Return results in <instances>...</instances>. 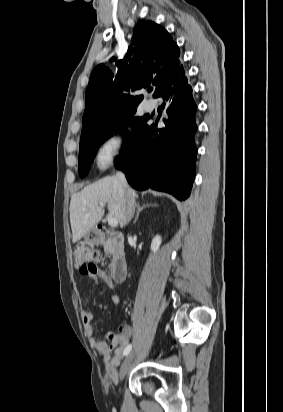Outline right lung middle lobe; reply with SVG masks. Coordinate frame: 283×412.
Masks as SVG:
<instances>
[{
    "label": "right lung middle lobe",
    "mask_w": 283,
    "mask_h": 412,
    "mask_svg": "<svg viewBox=\"0 0 283 412\" xmlns=\"http://www.w3.org/2000/svg\"><path fill=\"white\" fill-rule=\"evenodd\" d=\"M135 112L136 109L131 114L126 116L118 125L107 131L94 133L84 137L83 139H80L78 168L81 177H84L88 174L91 163L94 160L98 148L112 136L113 131H117L118 129L130 126L132 128L131 134L128 131L125 132V145L116 162L120 161L126 155L128 150L133 145L138 131L141 129V127L149 117L148 115H144L143 117H134L133 115L135 114Z\"/></svg>",
    "instance_id": "dd1d6c3e"
}]
</instances>
